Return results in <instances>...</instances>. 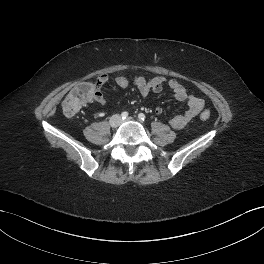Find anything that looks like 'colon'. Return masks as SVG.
<instances>
[{
  "instance_id": "5ec220e1",
  "label": "colon",
  "mask_w": 264,
  "mask_h": 264,
  "mask_svg": "<svg viewBox=\"0 0 264 264\" xmlns=\"http://www.w3.org/2000/svg\"><path fill=\"white\" fill-rule=\"evenodd\" d=\"M96 90V86L93 83L83 82L78 84L70 91L62 103L64 114L67 116L77 114L86 103L94 98ZM200 117L202 120H208L210 118L209 111H203Z\"/></svg>"
}]
</instances>
